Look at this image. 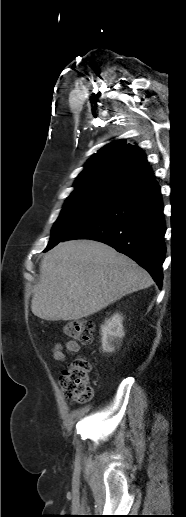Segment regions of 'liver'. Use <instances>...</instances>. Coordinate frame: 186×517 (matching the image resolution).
<instances>
[{
  "label": "liver",
  "mask_w": 186,
  "mask_h": 517,
  "mask_svg": "<svg viewBox=\"0 0 186 517\" xmlns=\"http://www.w3.org/2000/svg\"><path fill=\"white\" fill-rule=\"evenodd\" d=\"M152 283L145 269L104 243L61 242L41 262L31 310L48 321L78 320Z\"/></svg>",
  "instance_id": "6515ba94"
}]
</instances>
